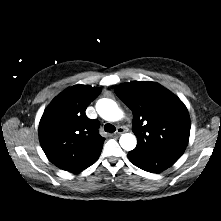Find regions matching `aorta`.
<instances>
[{"label": "aorta", "instance_id": "1", "mask_svg": "<svg viewBox=\"0 0 221 221\" xmlns=\"http://www.w3.org/2000/svg\"><path fill=\"white\" fill-rule=\"evenodd\" d=\"M96 110L101 118L106 121H118L123 117L122 110L117 103L111 99L103 98L96 103ZM119 143L126 151H131L136 147V137L131 133L122 134Z\"/></svg>", "mask_w": 221, "mask_h": 221}]
</instances>
